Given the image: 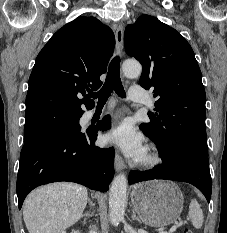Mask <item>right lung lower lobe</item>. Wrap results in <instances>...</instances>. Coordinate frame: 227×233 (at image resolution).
<instances>
[{
  "mask_svg": "<svg viewBox=\"0 0 227 233\" xmlns=\"http://www.w3.org/2000/svg\"><path fill=\"white\" fill-rule=\"evenodd\" d=\"M110 117L85 132L54 133L24 144L17 175L19 209L34 188L71 181L105 192L114 176V149L94 145L97 132L109 129Z\"/></svg>",
  "mask_w": 227,
  "mask_h": 233,
  "instance_id": "1",
  "label": "right lung lower lobe"
}]
</instances>
